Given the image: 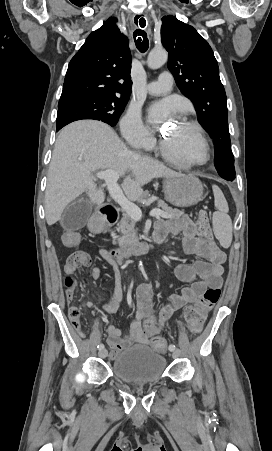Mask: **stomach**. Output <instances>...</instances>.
<instances>
[{
	"mask_svg": "<svg viewBox=\"0 0 272 451\" xmlns=\"http://www.w3.org/2000/svg\"><path fill=\"white\" fill-rule=\"evenodd\" d=\"M166 200L174 206H195L203 196V186L193 174H183L179 178H166L163 186Z\"/></svg>",
	"mask_w": 272,
	"mask_h": 451,
	"instance_id": "1",
	"label": "stomach"
}]
</instances>
